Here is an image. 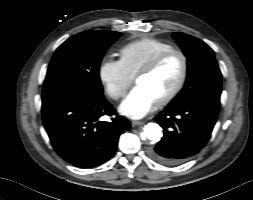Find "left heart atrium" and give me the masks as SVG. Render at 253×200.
I'll list each match as a JSON object with an SVG mask.
<instances>
[{"instance_id": "left-heart-atrium-1", "label": "left heart atrium", "mask_w": 253, "mask_h": 200, "mask_svg": "<svg viewBox=\"0 0 253 200\" xmlns=\"http://www.w3.org/2000/svg\"><path fill=\"white\" fill-rule=\"evenodd\" d=\"M155 98L143 87L136 86L120 104V112L132 119L147 115L156 105Z\"/></svg>"}]
</instances>
